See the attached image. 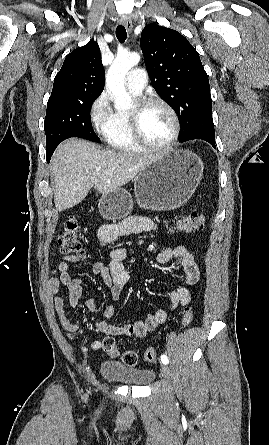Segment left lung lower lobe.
Here are the masks:
<instances>
[{
    "mask_svg": "<svg viewBox=\"0 0 269 445\" xmlns=\"http://www.w3.org/2000/svg\"><path fill=\"white\" fill-rule=\"evenodd\" d=\"M197 139L205 140L208 143H210L214 148L216 147L215 146V136H203V137H200V138H197Z\"/></svg>",
    "mask_w": 269,
    "mask_h": 445,
    "instance_id": "0a47b994",
    "label": "left lung lower lobe"
}]
</instances>
